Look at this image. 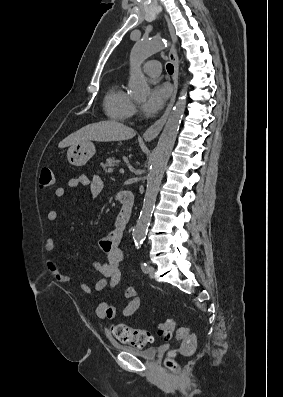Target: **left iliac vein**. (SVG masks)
Listing matches in <instances>:
<instances>
[{
  "instance_id": "4c4485c4",
  "label": "left iliac vein",
  "mask_w": 283,
  "mask_h": 397,
  "mask_svg": "<svg viewBox=\"0 0 283 397\" xmlns=\"http://www.w3.org/2000/svg\"><path fill=\"white\" fill-rule=\"evenodd\" d=\"M148 273L151 278L155 277V268L153 266H149Z\"/></svg>"
}]
</instances>
